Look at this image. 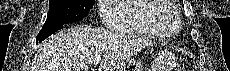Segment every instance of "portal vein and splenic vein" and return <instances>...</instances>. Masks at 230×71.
Here are the masks:
<instances>
[{
	"mask_svg": "<svg viewBox=\"0 0 230 71\" xmlns=\"http://www.w3.org/2000/svg\"><path fill=\"white\" fill-rule=\"evenodd\" d=\"M101 60V55H96L93 62H94V65H97L99 63V61Z\"/></svg>",
	"mask_w": 230,
	"mask_h": 71,
	"instance_id": "18ae733b",
	"label": "portal vein and splenic vein"
}]
</instances>
